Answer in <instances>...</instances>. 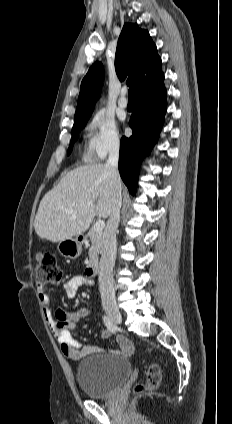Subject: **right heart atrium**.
<instances>
[{
  "mask_svg": "<svg viewBox=\"0 0 232 424\" xmlns=\"http://www.w3.org/2000/svg\"><path fill=\"white\" fill-rule=\"evenodd\" d=\"M121 137L116 122L103 111L96 112L90 121L89 152L98 159L120 148Z\"/></svg>",
  "mask_w": 232,
  "mask_h": 424,
  "instance_id": "d8ad5b80",
  "label": "right heart atrium"
}]
</instances>
